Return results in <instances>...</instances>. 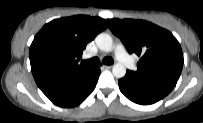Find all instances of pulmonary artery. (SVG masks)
<instances>
[{
	"label": "pulmonary artery",
	"instance_id": "1",
	"mask_svg": "<svg viewBox=\"0 0 203 123\" xmlns=\"http://www.w3.org/2000/svg\"><path fill=\"white\" fill-rule=\"evenodd\" d=\"M115 55L118 61L123 64L125 67L128 69H133L134 68V63L132 59L129 57L127 54L124 46L122 44H117L115 46Z\"/></svg>",
	"mask_w": 203,
	"mask_h": 123
}]
</instances>
